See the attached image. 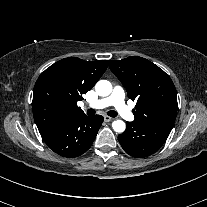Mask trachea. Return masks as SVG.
<instances>
[{
  "instance_id": "obj_1",
  "label": "trachea",
  "mask_w": 207,
  "mask_h": 207,
  "mask_svg": "<svg viewBox=\"0 0 207 207\" xmlns=\"http://www.w3.org/2000/svg\"><path fill=\"white\" fill-rule=\"evenodd\" d=\"M87 114L90 115V116H92V115L95 114V110H94V109H89V110L87 111ZM107 114H108L109 116H111V117H116V116L118 115V113H117L116 111H113V110L108 111Z\"/></svg>"
}]
</instances>
